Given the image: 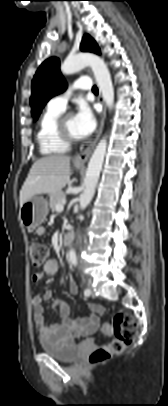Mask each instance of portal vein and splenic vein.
<instances>
[{
	"instance_id": "portal-vein-and-splenic-vein-1",
	"label": "portal vein and splenic vein",
	"mask_w": 168,
	"mask_h": 406,
	"mask_svg": "<svg viewBox=\"0 0 168 406\" xmlns=\"http://www.w3.org/2000/svg\"><path fill=\"white\" fill-rule=\"evenodd\" d=\"M63 209H64L63 204H57L56 205V211L60 212V211H63Z\"/></svg>"
}]
</instances>
